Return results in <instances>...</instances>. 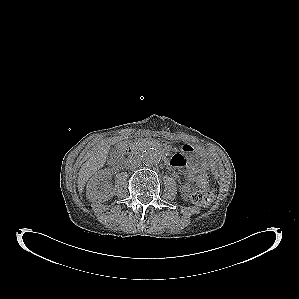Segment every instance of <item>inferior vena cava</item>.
<instances>
[{
	"instance_id": "obj_1",
	"label": "inferior vena cava",
	"mask_w": 299,
	"mask_h": 299,
	"mask_svg": "<svg viewBox=\"0 0 299 299\" xmlns=\"http://www.w3.org/2000/svg\"><path fill=\"white\" fill-rule=\"evenodd\" d=\"M139 166H140V161H138V160L133 161L130 165V167L134 168V169Z\"/></svg>"
}]
</instances>
